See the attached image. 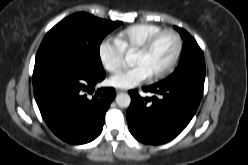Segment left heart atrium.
<instances>
[{
    "instance_id": "left-heart-atrium-1",
    "label": "left heart atrium",
    "mask_w": 248,
    "mask_h": 165,
    "mask_svg": "<svg viewBox=\"0 0 248 165\" xmlns=\"http://www.w3.org/2000/svg\"><path fill=\"white\" fill-rule=\"evenodd\" d=\"M150 77V73L143 65H135L117 71L110 77L109 82L114 87L127 89L143 83Z\"/></svg>"
}]
</instances>
